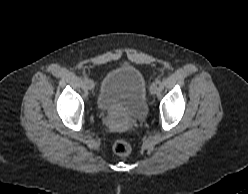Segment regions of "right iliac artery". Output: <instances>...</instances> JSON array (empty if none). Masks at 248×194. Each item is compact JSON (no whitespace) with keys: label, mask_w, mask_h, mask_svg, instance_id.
<instances>
[{"label":"right iliac artery","mask_w":248,"mask_h":194,"mask_svg":"<svg viewBox=\"0 0 248 194\" xmlns=\"http://www.w3.org/2000/svg\"><path fill=\"white\" fill-rule=\"evenodd\" d=\"M87 80H88V77H87V76H84V77H83V81L86 82Z\"/></svg>","instance_id":"right-iliac-artery-1"}]
</instances>
